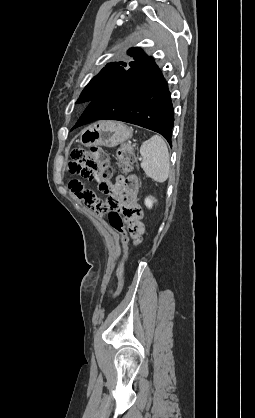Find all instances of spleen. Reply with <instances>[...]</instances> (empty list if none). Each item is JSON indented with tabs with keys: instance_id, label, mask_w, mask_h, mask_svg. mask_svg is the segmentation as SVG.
Instances as JSON below:
<instances>
[{
	"instance_id": "3e777b00",
	"label": "spleen",
	"mask_w": 255,
	"mask_h": 418,
	"mask_svg": "<svg viewBox=\"0 0 255 418\" xmlns=\"http://www.w3.org/2000/svg\"><path fill=\"white\" fill-rule=\"evenodd\" d=\"M143 158L141 168L152 180L163 183L170 174V158L167 145L160 135H153L140 147Z\"/></svg>"
}]
</instances>
